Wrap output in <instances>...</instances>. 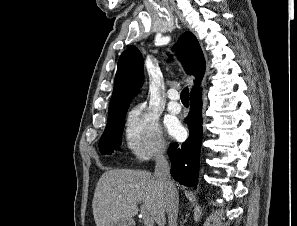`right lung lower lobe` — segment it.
Instances as JSON below:
<instances>
[{
	"instance_id": "right-lung-lower-lobe-1",
	"label": "right lung lower lobe",
	"mask_w": 297,
	"mask_h": 226,
	"mask_svg": "<svg viewBox=\"0 0 297 226\" xmlns=\"http://www.w3.org/2000/svg\"><path fill=\"white\" fill-rule=\"evenodd\" d=\"M190 114L186 118L190 136L177 149L178 144H171L169 157L171 160V175L179 183L197 188L199 159L202 139V100L201 88L191 92Z\"/></svg>"
}]
</instances>
